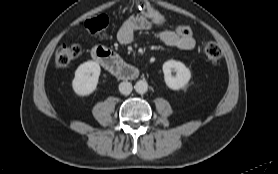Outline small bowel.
Listing matches in <instances>:
<instances>
[{"mask_svg": "<svg viewBox=\"0 0 278 174\" xmlns=\"http://www.w3.org/2000/svg\"><path fill=\"white\" fill-rule=\"evenodd\" d=\"M152 25L153 22L145 15H133L121 25L117 33V39L123 45L130 44L137 32L149 30ZM157 37L165 45L180 50L189 51L196 46V41L193 37H181L170 29L158 32Z\"/></svg>", "mask_w": 278, "mask_h": 174, "instance_id": "obj_1", "label": "small bowel"}]
</instances>
